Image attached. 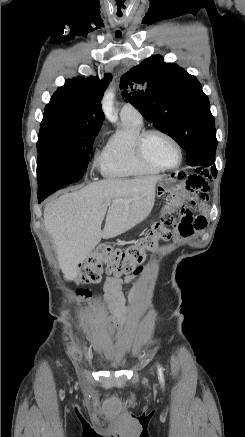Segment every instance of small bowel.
Wrapping results in <instances>:
<instances>
[{
	"label": "small bowel",
	"instance_id": "1",
	"mask_svg": "<svg viewBox=\"0 0 245 437\" xmlns=\"http://www.w3.org/2000/svg\"><path fill=\"white\" fill-rule=\"evenodd\" d=\"M214 174L211 171H204L202 168L196 171H190L186 183H182L179 189L182 192H187L193 199L190 203H182L180 206L179 215H170L166 210L161 215V221L164 223L166 229H174L176 235L182 237L191 236L194 232L204 229L207 225V219L204 215V209L201 213L194 215L191 214L193 206L198 205L201 201L205 199L207 193L210 191L211 186L206 180H211ZM171 205V209L175 207L170 201L167 203ZM193 205V206H192ZM126 276L124 279H118L113 277H108L106 279V286L110 289H117L124 283H130L134 280L135 275ZM122 323V317L119 313H116L108 323V330L111 336L118 333L119 327Z\"/></svg>",
	"mask_w": 245,
	"mask_h": 437
}]
</instances>
